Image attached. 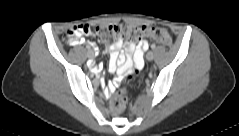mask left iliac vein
Instances as JSON below:
<instances>
[{
	"label": "left iliac vein",
	"mask_w": 239,
	"mask_h": 136,
	"mask_svg": "<svg viewBox=\"0 0 239 136\" xmlns=\"http://www.w3.org/2000/svg\"><path fill=\"white\" fill-rule=\"evenodd\" d=\"M154 58V53L152 51H149L147 54H146V59L148 61H152Z\"/></svg>",
	"instance_id": "left-iliac-vein-1"
}]
</instances>
